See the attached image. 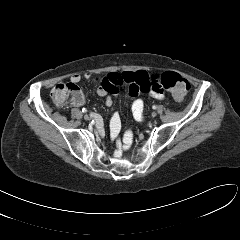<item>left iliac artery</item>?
I'll return each instance as SVG.
<instances>
[{"label":"left iliac artery","mask_w":240,"mask_h":240,"mask_svg":"<svg viewBox=\"0 0 240 240\" xmlns=\"http://www.w3.org/2000/svg\"><path fill=\"white\" fill-rule=\"evenodd\" d=\"M152 108H153V109H157V108H158V106L154 105Z\"/></svg>","instance_id":"left-iliac-artery-1"}]
</instances>
